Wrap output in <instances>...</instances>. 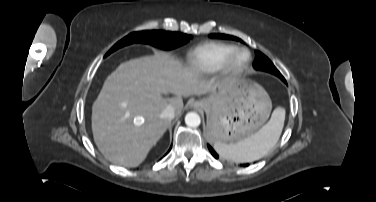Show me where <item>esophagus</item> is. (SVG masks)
Listing matches in <instances>:
<instances>
[{
	"label": "esophagus",
	"mask_w": 376,
	"mask_h": 202,
	"mask_svg": "<svg viewBox=\"0 0 376 202\" xmlns=\"http://www.w3.org/2000/svg\"><path fill=\"white\" fill-rule=\"evenodd\" d=\"M199 106H200V103H199V102H194V103H193V107L198 108Z\"/></svg>",
	"instance_id": "esophagus-1"
}]
</instances>
